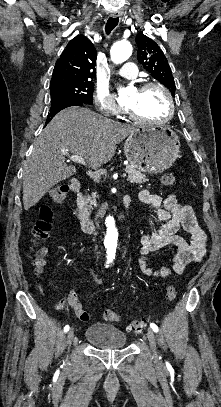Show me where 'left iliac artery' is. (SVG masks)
Returning a JSON list of instances; mask_svg holds the SVG:
<instances>
[{
  "label": "left iliac artery",
  "mask_w": 221,
  "mask_h": 407,
  "mask_svg": "<svg viewBox=\"0 0 221 407\" xmlns=\"http://www.w3.org/2000/svg\"><path fill=\"white\" fill-rule=\"evenodd\" d=\"M150 327L152 328V330H153L154 332H158V326H157L156 324L151 323V324H150Z\"/></svg>",
  "instance_id": "obj_1"
}]
</instances>
